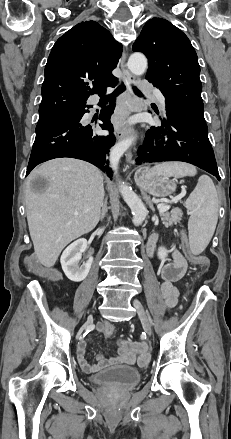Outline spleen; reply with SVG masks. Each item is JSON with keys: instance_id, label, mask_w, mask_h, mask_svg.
I'll return each mask as SVG.
<instances>
[{"instance_id": "1", "label": "spleen", "mask_w": 231, "mask_h": 439, "mask_svg": "<svg viewBox=\"0 0 231 439\" xmlns=\"http://www.w3.org/2000/svg\"><path fill=\"white\" fill-rule=\"evenodd\" d=\"M194 166L182 162L162 163L150 170L151 175L181 178L194 176ZM191 211L188 222L190 248L194 255L202 253L209 244L218 220V196L212 179L202 175L197 186L185 202Z\"/></svg>"}]
</instances>
